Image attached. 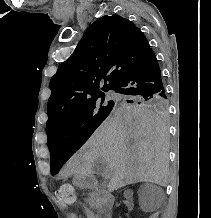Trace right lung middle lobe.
Instances as JSON below:
<instances>
[{
  "label": "right lung middle lobe",
  "instance_id": "dd1d6c3e",
  "mask_svg": "<svg viewBox=\"0 0 211 218\" xmlns=\"http://www.w3.org/2000/svg\"><path fill=\"white\" fill-rule=\"evenodd\" d=\"M104 97L102 93L62 115L52 127L47 129L48 147L72 146L75 150L79 149L116 105L142 104L163 112L168 108L167 98L162 97H118L111 100H105ZM63 164V161L51 160V174H57Z\"/></svg>",
  "mask_w": 211,
  "mask_h": 218
}]
</instances>
